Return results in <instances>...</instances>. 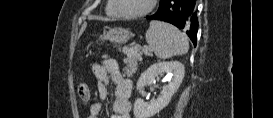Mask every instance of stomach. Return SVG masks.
Here are the masks:
<instances>
[{
    "mask_svg": "<svg viewBox=\"0 0 273 118\" xmlns=\"http://www.w3.org/2000/svg\"><path fill=\"white\" fill-rule=\"evenodd\" d=\"M132 36L133 34L124 28H112L104 33L102 39L122 44L126 43Z\"/></svg>",
    "mask_w": 273,
    "mask_h": 118,
    "instance_id": "stomach-1",
    "label": "stomach"
}]
</instances>
